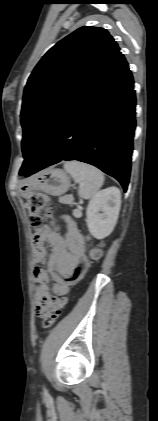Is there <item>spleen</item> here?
Returning <instances> with one entry per match:
<instances>
[{"instance_id":"3e777b00","label":"spleen","mask_w":158,"mask_h":421,"mask_svg":"<svg viewBox=\"0 0 158 421\" xmlns=\"http://www.w3.org/2000/svg\"><path fill=\"white\" fill-rule=\"evenodd\" d=\"M64 169L79 183L78 194L84 199L93 198L104 182L103 173L96 167L79 161H69Z\"/></svg>"}]
</instances>
